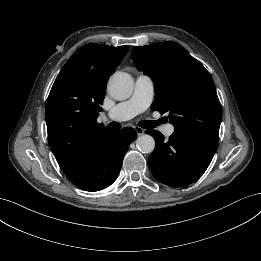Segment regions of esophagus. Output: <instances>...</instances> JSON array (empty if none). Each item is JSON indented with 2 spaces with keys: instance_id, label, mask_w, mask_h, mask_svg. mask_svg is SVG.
I'll return each mask as SVG.
<instances>
[{
  "instance_id": "esophagus-1",
  "label": "esophagus",
  "mask_w": 261,
  "mask_h": 261,
  "mask_svg": "<svg viewBox=\"0 0 261 261\" xmlns=\"http://www.w3.org/2000/svg\"><path fill=\"white\" fill-rule=\"evenodd\" d=\"M135 131L137 133L138 136H141L144 134L145 130L141 127H135Z\"/></svg>"
}]
</instances>
